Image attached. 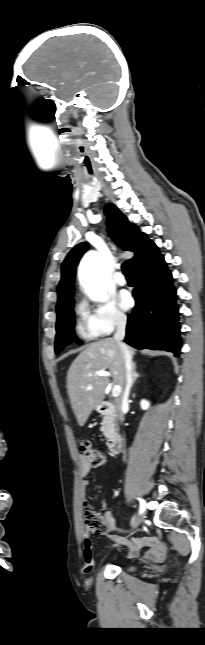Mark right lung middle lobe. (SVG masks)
<instances>
[{"instance_id": "obj_1", "label": "right lung middle lobe", "mask_w": 205, "mask_h": 645, "mask_svg": "<svg viewBox=\"0 0 205 645\" xmlns=\"http://www.w3.org/2000/svg\"><path fill=\"white\" fill-rule=\"evenodd\" d=\"M74 311L73 304L57 315L55 353L58 354L68 343L74 339Z\"/></svg>"}]
</instances>
